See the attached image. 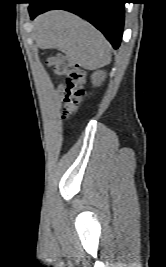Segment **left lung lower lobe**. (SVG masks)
<instances>
[{
	"label": "left lung lower lobe",
	"mask_w": 166,
	"mask_h": 267,
	"mask_svg": "<svg viewBox=\"0 0 166 267\" xmlns=\"http://www.w3.org/2000/svg\"><path fill=\"white\" fill-rule=\"evenodd\" d=\"M126 2V0H30L28 9L31 19L51 9L69 10L93 24L117 49L122 39Z\"/></svg>",
	"instance_id": "left-lung-lower-lobe-1"
}]
</instances>
